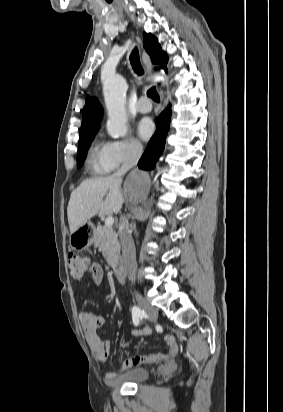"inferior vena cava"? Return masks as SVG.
Masks as SVG:
<instances>
[{"label": "inferior vena cava", "instance_id": "1", "mask_svg": "<svg viewBox=\"0 0 283 412\" xmlns=\"http://www.w3.org/2000/svg\"><path fill=\"white\" fill-rule=\"evenodd\" d=\"M142 154L141 146H133L123 162L121 168H119L113 176L122 181V176L131 168L137 165ZM119 238L122 246V255L124 261L125 272L128 279L134 283L136 279V250L135 245L131 237L130 225L126 217L123 215L120 217L119 225Z\"/></svg>", "mask_w": 283, "mask_h": 412}]
</instances>
